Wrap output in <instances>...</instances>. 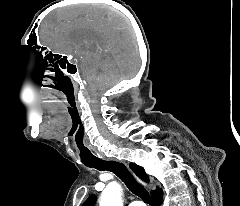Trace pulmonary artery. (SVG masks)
Instances as JSON below:
<instances>
[{"label": "pulmonary artery", "instance_id": "1", "mask_svg": "<svg viewBox=\"0 0 240 206\" xmlns=\"http://www.w3.org/2000/svg\"><path fill=\"white\" fill-rule=\"evenodd\" d=\"M128 206H145L141 201H133Z\"/></svg>", "mask_w": 240, "mask_h": 206}]
</instances>
